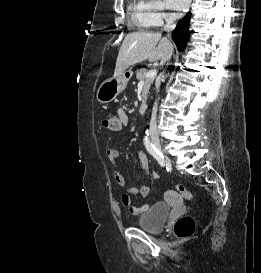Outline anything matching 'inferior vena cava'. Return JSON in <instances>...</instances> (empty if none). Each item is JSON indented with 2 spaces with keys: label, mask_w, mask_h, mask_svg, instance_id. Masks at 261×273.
I'll list each match as a JSON object with an SVG mask.
<instances>
[{
  "label": "inferior vena cava",
  "mask_w": 261,
  "mask_h": 273,
  "mask_svg": "<svg viewBox=\"0 0 261 273\" xmlns=\"http://www.w3.org/2000/svg\"><path fill=\"white\" fill-rule=\"evenodd\" d=\"M174 17L173 16H168L166 18V24L164 26V31L167 32H171L172 30L175 29L176 24L174 23ZM171 58V54L168 55L164 60L161 61V65L163 66L167 61H169ZM160 81H161V77L159 78V81L157 83V89L160 87ZM156 113H157V104L155 103L154 108H153V113H152V118H151V122H150V134L151 137H159V131L157 128V122H156Z\"/></svg>",
  "instance_id": "1"
}]
</instances>
